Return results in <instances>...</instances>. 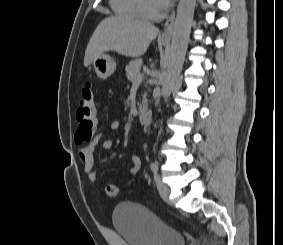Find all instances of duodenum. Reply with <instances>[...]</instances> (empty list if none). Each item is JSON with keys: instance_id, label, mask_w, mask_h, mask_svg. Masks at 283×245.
Here are the masks:
<instances>
[{"instance_id": "1", "label": "duodenum", "mask_w": 283, "mask_h": 245, "mask_svg": "<svg viewBox=\"0 0 283 245\" xmlns=\"http://www.w3.org/2000/svg\"><path fill=\"white\" fill-rule=\"evenodd\" d=\"M138 119L141 124L148 125L152 120V113L150 110H141L138 114Z\"/></svg>"}]
</instances>
